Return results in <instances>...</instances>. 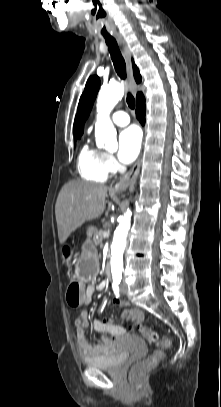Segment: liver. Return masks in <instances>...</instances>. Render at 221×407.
<instances>
[{"instance_id": "6515ba94", "label": "liver", "mask_w": 221, "mask_h": 407, "mask_svg": "<svg viewBox=\"0 0 221 407\" xmlns=\"http://www.w3.org/2000/svg\"><path fill=\"white\" fill-rule=\"evenodd\" d=\"M107 186L85 181L65 184L56 201L58 237L63 244L85 221L93 220L105 210Z\"/></svg>"}]
</instances>
